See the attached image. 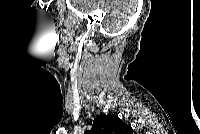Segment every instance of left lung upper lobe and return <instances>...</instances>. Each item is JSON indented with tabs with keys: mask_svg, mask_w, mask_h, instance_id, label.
<instances>
[{
	"mask_svg": "<svg viewBox=\"0 0 200 134\" xmlns=\"http://www.w3.org/2000/svg\"><path fill=\"white\" fill-rule=\"evenodd\" d=\"M86 134H132V128L114 115H100Z\"/></svg>",
	"mask_w": 200,
	"mask_h": 134,
	"instance_id": "5c2ea615",
	"label": "left lung upper lobe"
}]
</instances>
